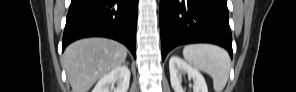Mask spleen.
I'll use <instances>...</instances> for the list:
<instances>
[{"mask_svg": "<svg viewBox=\"0 0 296 92\" xmlns=\"http://www.w3.org/2000/svg\"><path fill=\"white\" fill-rule=\"evenodd\" d=\"M183 56L191 66L212 77L215 92H222L229 77L231 63L224 49L210 44H191L184 47Z\"/></svg>", "mask_w": 296, "mask_h": 92, "instance_id": "3e777b00", "label": "spleen"}]
</instances>
